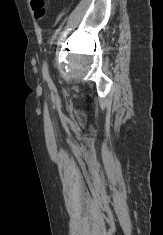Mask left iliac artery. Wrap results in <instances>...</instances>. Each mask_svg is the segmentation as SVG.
Listing matches in <instances>:
<instances>
[{
  "label": "left iliac artery",
  "instance_id": "44dca946",
  "mask_svg": "<svg viewBox=\"0 0 163 235\" xmlns=\"http://www.w3.org/2000/svg\"><path fill=\"white\" fill-rule=\"evenodd\" d=\"M42 74H43V77H44L48 82H51V78H50V75H49V69H48V63H47V61H45L44 64H43Z\"/></svg>",
  "mask_w": 163,
  "mask_h": 235
}]
</instances>
